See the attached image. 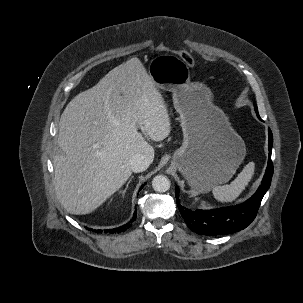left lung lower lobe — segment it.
I'll use <instances>...</instances> for the list:
<instances>
[{
	"instance_id": "1",
	"label": "left lung lower lobe",
	"mask_w": 303,
	"mask_h": 303,
	"mask_svg": "<svg viewBox=\"0 0 303 303\" xmlns=\"http://www.w3.org/2000/svg\"><path fill=\"white\" fill-rule=\"evenodd\" d=\"M258 118L259 114L256 112ZM269 136V158L265 175L256 193L242 204L224 207L213 210L192 211L183 207L179 201V188L175 189V196L178 208L188 227L199 235L217 236L227 235L246 228L255 218L261 200L270 187L273 164L271 160V150L273 136L268 129Z\"/></svg>"
}]
</instances>
